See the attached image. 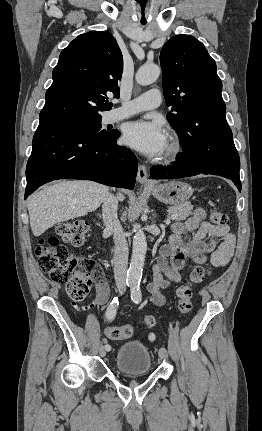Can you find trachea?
Here are the masks:
<instances>
[{"instance_id": "obj_1", "label": "trachea", "mask_w": 262, "mask_h": 431, "mask_svg": "<svg viewBox=\"0 0 262 431\" xmlns=\"http://www.w3.org/2000/svg\"><path fill=\"white\" fill-rule=\"evenodd\" d=\"M137 1L139 2L141 12H144L147 5V0H137Z\"/></svg>"}]
</instances>
